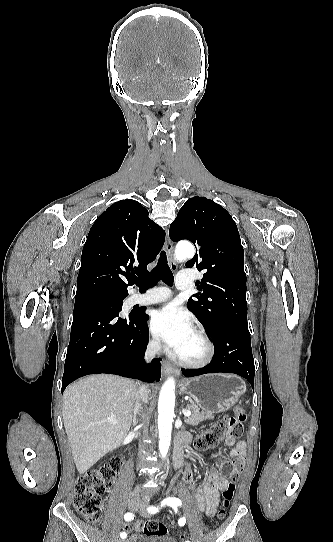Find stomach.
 I'll use <instances>...</instances> for the list:
<instances>
[{"label": "stomach", "mask_w": 333, "mask_h": 542, "mask_svg": "<svg viewBox=\"0 0 333 542\" xmlns=\"http://www.w3.org/2000/svg\"><path fill=\"white\" fill-rule=\"evenodd\" d=\"M180 392L209 412H226L245 394L243 380L235 374H205L180 382Z\"/></svg>", "instance_id": "obj_1"}]
</instances>
